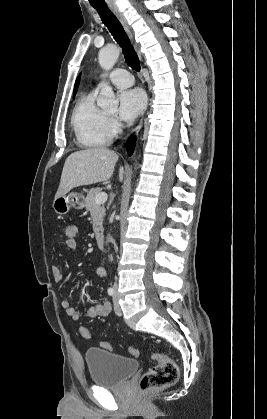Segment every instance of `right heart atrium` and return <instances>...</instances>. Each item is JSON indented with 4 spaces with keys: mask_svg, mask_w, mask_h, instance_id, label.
Returning <instances> with one entry per match:
<instances>
[{
    "mask_svg": "<svg viewBox=\"0 0 267 419\" xmlns=\"http://www.w3.org/2000/svg\"><path fill=\"white\" fill-rule=\"evenodd\" d=\"M108 127L111 134H113L116 129V121L113 118H108Z\"/></svg>",
    "mask_w": 267,
    "mask_h": 419,
    "instance_id": "1",
    "label": "right heart atrium"
}]
</instances>
